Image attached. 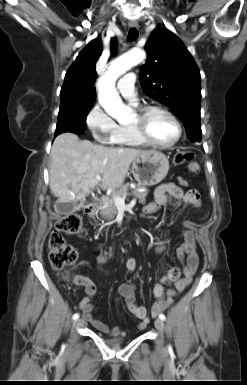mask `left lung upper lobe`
Returning a JSON list of instances; mask_svg holds the SVG:
<instances>
[{
    "label": "left lung upper lobe",
    "mask_w": 247,
    "mask_h": 385,
    "mask_svg": "<svg viewBox=\"0 0 247 385\" xmlns=\"http://www.w3.org/2000/svg\"><path fill=\"white\" fill-rule=\"evenodd\" d=\"M145 50L148 59L140 71L143 91L171 108L191 142L201 141V78L191 54L174 33L161 25L151 33Z\"/></svg>",
    "instance_id": "left-lung-upper-lobe-1"
}]
</instances>
